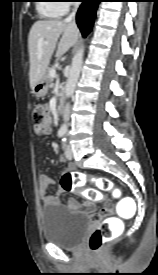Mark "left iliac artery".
I'll return each instance as SVG.
<instances>
[{"label":"left iliac artery","instance_id":"left-iliac-artery-1","mask_svg":"<svg viewBox=\"0 0 158 275\" xmlns=\"http://www.w3.org/2000/svg\"><path fill=\"white\" fill-rule=\"evenodd\" d=\"M62 141H63V145L65 146L66 138H63Z\"/></svg>","mask_w":158,"mask_h":275}]
</instances>
